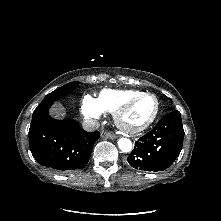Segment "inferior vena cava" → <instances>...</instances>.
<instances>
[{"label": "inferior vena cava", "instance_id": "inferior-vena-cava-1", "mask_svg": "<svg viewBox=\"0 0 221 221\" xmlns=\"http://www.w3.org/2000/svg\"><path fill=\"white\" fill-rule=\"evenodd\" d=\"M82 126L86 131H94L99 128L100 124L97 120H85Z\"/></svg>", "mask_w": 221, "mask_h": 221}]
</instances>
